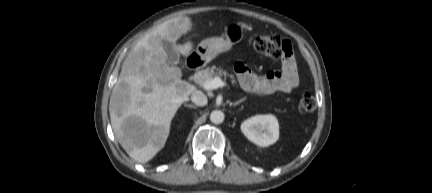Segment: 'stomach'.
I'll return each mask as SVG.
<instances>
[{
	"label": "stomach",
	"instance_id": "1",
	"mask_svg": "<svg viewBox=\"0 0 432 193\" xmlns=\"http://www.w3.org/2000/svg\"><path fill=\"white\" fill-rule=\"evenodd\" d=\"M243 36L244 30L241 24L232 22L225 27L224 37H212L202 40L196 48V54L208 63L220 53L230 50L233 45L243 39Z\"/></svg>",
	"mask_w": 432,
	"mask_h": 193
}]
</instances>
